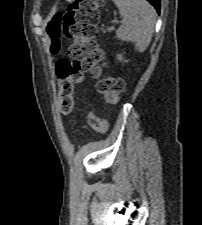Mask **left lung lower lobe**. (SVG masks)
Instances as JSON below:
<instances>
[{
    "label": "left lung lower lobe",
    "instance_id": "left-lung-lower-lobe-1",
    "mask_svg": "<svg viewBox=\"0 0 202 225\" xmlns=\"http://www.w3.org/2000/svg\"><path fill=\"white\" fill-rule=\"evenodd\" d=\"M149 1L152 6H154V8L159 12L160 10V1L159 0H147Z\"/></svg>",
    "mask_w": 202,
    "mask_h": 225
}]
</instances>
